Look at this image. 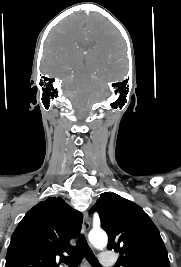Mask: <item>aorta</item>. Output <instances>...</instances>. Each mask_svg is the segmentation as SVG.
Here are the masks:
<instances>
[{
    "mask_svg": "<svg viewBox=\"0 0 181 267\" xmlns=\"http://www.w3.org/2000/svg\"><path fill=\"white\" fill-rule=\"evenodd\" d=\"M89 241L95 248L103 249L108 243V237L102 230H92L89 233Z\"/></svg>",
    "mask_w": 181,
    "mask_h": 267,
    "instance_id": "aorta-1",
    "label": "aorta"
}]
</instances>
